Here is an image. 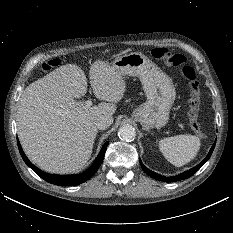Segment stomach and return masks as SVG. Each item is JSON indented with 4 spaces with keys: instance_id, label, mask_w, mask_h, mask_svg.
Returning <instances> with one entry per match:
<instances>
[{
    "instance_id": "stomach-1",
    "label": "stomach",
    "mask_w": 233,
    "mask_h": 233,
    "mask_svg": "<svg viewBox=\"0 0 233 233\" xmlns=\"http://www.w3.org/2000/svg\"><path fill=\"white\" fill-rule=\"evenodd\" d=\"M112 66L122 76L139 77L147 101L132 113L143 129L161 128L169 120L176 92L172 79L141 52H131L115 58Z\"/></svg>"
}]
</instances>
